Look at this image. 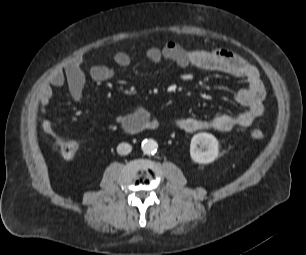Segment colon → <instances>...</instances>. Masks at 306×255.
<instances>
[{
	"instance_id": "obj_1",
	"label": "colon",
	"mask_w": 306,
	"mask_h": 255,
	"mask_svg": "<svg viewBox=\"0 0 306 255\" xmlns=\"http://www.w3.org/2000/svg\"><path fill=\"white\" fill-rule=\"evenodd\" d=\"M251 136L256 140H260L264 137V132L259 128H254L251 131ZM57 146L61 155L67 159L73 158L79 149L78 142L72 139H60L57 141Z\"/></svg>"
}]
</instances>
